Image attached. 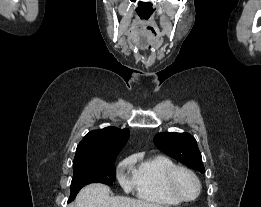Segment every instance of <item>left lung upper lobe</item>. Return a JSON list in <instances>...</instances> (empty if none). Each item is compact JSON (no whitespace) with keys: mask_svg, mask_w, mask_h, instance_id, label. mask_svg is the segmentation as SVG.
<instances>
[{"mask_svg":"<svg viewBox=\"0 0 261 207\" xmlns=\"http://www.w3.org/2000/svg\"><path fill=\"white\" fill-rule=\"evenodd\" d=\"M155 145L165 154L190 168L205 172L195 138L189 133L164 132L154 137Z\"/></svg>","mask_w":261,"mask_h":207,"instance_id":"obj_1","label":"left lung upper lobe"}]
</instances>
